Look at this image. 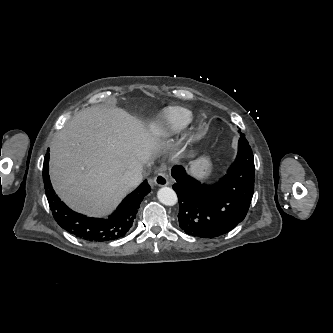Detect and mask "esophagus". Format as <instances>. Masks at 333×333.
I'll return each mask as SVG.
<instances>
[{
	"instance_id": "obj_1",
	"label": "esophagus",
	"mask_w": 333,
	"mask_h": 333,
	"mask_svg": "<svg viewBox=\"0 0 333 333\" xmlns=\"http://www.w3.org/2000/svg\"><path fill=\"white\" fill-rule=\"evenodd\" d=\"M154 183L157 185V186H167L169 185V180L166 176V174L164 173H158L155 178H154Z\"/></svg>"
}]
</instances>
